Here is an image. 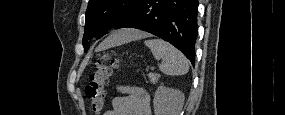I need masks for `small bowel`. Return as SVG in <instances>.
<instances>
[{"label": "small bowel", "instance_id": "obj_1", "mask_svg": "<svg viewBox=\"0 0 285 115\" xmlns=\"http://www.w3.org/2000/svg\"><path fill=\"white\" fill-rule=\"evenodd\" d=\"M124 94L112 100V108L104 115H151V99L139 86L118 85Z\"/></svg>", "mask_w": 285, "mask_h": 115}]
</instances>
